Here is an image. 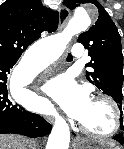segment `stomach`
<instances>
[{
    "instance_id": "1",
    "label": "stomach",
    "mask_w": 124,
    "mask_h": 149,
    "mask_svg": "<svg viewBox=\"0 0 124 149\" xmlns=\"http://www.w3.org/2000/svg\"><path fill=\"white\" fill-rule=\"evenodd\" d=\"M111 143L95 142L87 139H81L79 149H112Z\"/></svg>"
}]
</instances>
